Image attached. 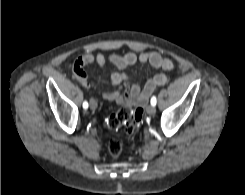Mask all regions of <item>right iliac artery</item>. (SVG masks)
<instances>
[{"instance_id":"82829eb1","label":"right iliac artery","mask_w":245,"mask_h":195,"mask_svg":"<svg viewBox=\"0 0 245 195\" xmlns=\"http://www.w3.org/2000/svg\"><path fill=\"white\" fill-rule=\"evenodd\" d=\"M83 108H84V109H87V108H88V102H87V101H84V102H83Z\"/></svg>"}]
</instances>
